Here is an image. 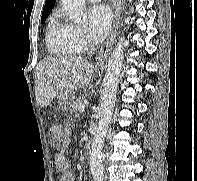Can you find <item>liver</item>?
<instances>
[{"label":"liver","mask_w":197,"mask_h":181,"mask_svg":"<svg viewBox=\"0 0 197 181\" xmlns=\"http://www.w3.org/2000/svg\"><path fill=\"white\" fill-rule=\"evenodd\" d=\"M94 70V64L82 57L44 58L35 69L37 104L48 106L59 93L88 86Z\"/></svg>","instance_id":"1"}]
</instances>
